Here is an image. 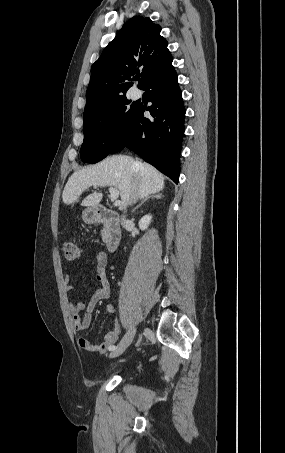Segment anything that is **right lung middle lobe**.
<instances>
[{
  "label": "right lung middle lobe",
  "mask_w": 285,
  "mask_h": 453,
  "mask_svg": "<svg viewBox=\"0 0 285 453\" xmlns=\"http://www.w3.org/2000/svg\"><path fill=\"white\" fill-rule=\"evenodd\" d=\"M126 96L84 114V141L81 146V158L90 164L96 163L109 155L120 142L137 110Z\"/></svg>",
  "instance_id": "obj_1"
}]
</instances>
